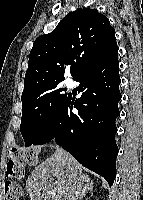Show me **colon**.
I'll return each instance as SVG.
<instances>
[{
    "label": "colon",
    "instance_id": "colon-1",
    "mask_svg": "<svg viewBox=\"0 0 143 200\" xmlns=\"http://www.w3.org/2000/svg\"><path fill=\"white\" fill-rule=\"evenodd\" d=\"M36 151L13 150L7 164V180L4 185V200H19L21 190L19 181L27 165L36 163Z\"/></svg>",
    "mask_w": 143,
    "mask_h": 200
}]
</instances>
